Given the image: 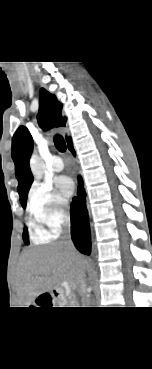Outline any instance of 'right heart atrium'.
I'll use <instances>...</instances> for the list:
<instances>
[{
	"label": "right heart atrium",
	"mask_w": 152,
	"mask_h": 369,
	"mask_svg": "<svg viewBox=\"0 0 152 369\" xmlns=\"http://www.w3.org/2000/svg\"><path fill=\"white\" fill-rule=\"evenodd\" d=\"M33 220L49 236L56 235L69 220L67 202L50 186L34 184L28 194Z\"/></svg>",
	"instance_id": "d8ad5b80"
}]
</instances>
